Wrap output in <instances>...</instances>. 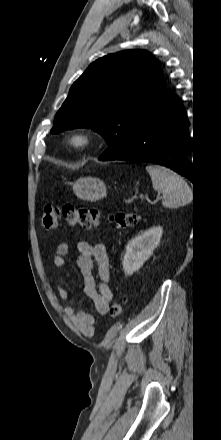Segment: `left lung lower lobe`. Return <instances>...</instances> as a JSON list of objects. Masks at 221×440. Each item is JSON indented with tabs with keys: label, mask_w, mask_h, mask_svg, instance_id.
<instances>
[{
	"label": "left lung lower lobe",
	"mask_w": 221,
	"mask_h": 440,
	"mask_svg": "<svg viewBox=\"0 0 221 440\" xmlns=\"http://www.w3.org/2000/svg\"><path fill=\"white\" fill-rule=\"evenodd\" d=\"M189 126L182 102L165 89L135 124L127 150L113 160L160 164L194 182L187 157L192 146ZM99 160L105 161L101 156Z\"/></svg>",
	"instance_id": "0a47b994"
}]
</instances>
